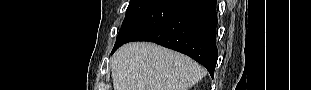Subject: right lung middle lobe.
Returning <instances> with one entry per match:
<instances>
[{
  "instance_id": "1",
  "label": "right lung middle lobe",
  "mask_w": 311,
  "mask_h": 90,
  "mask_svg": "<svg viewBox=\"0 0 311 90\" xmlns=\"http://www.w3.org/2000/svg\"><path fill=\"white\" fill-rule=\"evenodd\" d=\"M190 0H131L114 48L166 21ZM113 48V49H114Z\"/></svg>"
}]
</instances>
